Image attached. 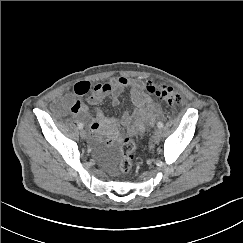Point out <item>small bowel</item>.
<instances>
[{"instance_id":"c3829d8e","label":"small bowel","mask_w":243,"mask_h":243,"mask_svg":"<svg viewBox=\"0 0 243 243\" xmlns=\"http://www.w3.org/2000/svg\"><path fill=\"white\" fill-rule=\"evenodd\" d=\"M146 83L140 79L116 77L102 83L92 84L80 81L74 85V94L62 96L56 103L60 111L70 109L77 119L90 120L89 132L103 137V142L112 146L122 138V130L130 135H141L147 126H152L163 111L160 106L145 93ZM130 90L134 107L126 110L120 118L107 117L100 109L90 116L88 107L76 95H87V103L97 105L103 99L109 98L112 105L120 103L123 90Z\"/></svg>"}]
</instances>
